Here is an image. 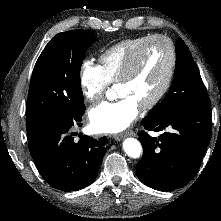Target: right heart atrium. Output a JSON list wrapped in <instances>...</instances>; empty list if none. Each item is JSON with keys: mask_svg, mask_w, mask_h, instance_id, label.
<instances>
[{"mask_svg": "<svg viewBox=\"0 0 221 221\" xmlns=\"http://www.w3.org/2000/svg\"><path fill=\"white\" fill-rule=\"evenodd\" d=\"M79 79L82 94L91 103L100 100L110 85L101 66L89 59L82 63Z\"/></svg>", "mask_w": 221, "mask_h": 221, "instance_id": "right-heart-atrium-1", "label": "right heart atrium"}]
</instances>
